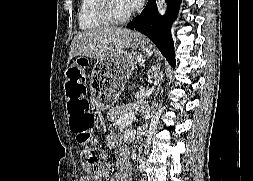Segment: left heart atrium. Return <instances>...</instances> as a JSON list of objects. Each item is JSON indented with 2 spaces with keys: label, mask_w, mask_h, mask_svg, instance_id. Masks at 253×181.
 Instances as JSON below:
<instances>
[{
  "label": "left heart atrium",
  "mask_w": 253,
  "mask_h": 181,
  "mask_svg": "<svg viewBox=\"0 0 253 181\" xmlns=\"http://www.w3.org/2000/svg\"><path fill=\"white\" fill-rule=\"evenodd\" d=\"M126 6L130 11L139 9L142 5L144 0H124Z\"/></svg>",
  "instance_id": "obj_1"
}]
</instances>
